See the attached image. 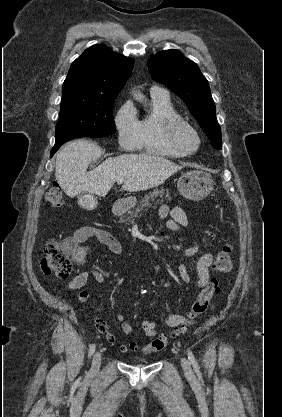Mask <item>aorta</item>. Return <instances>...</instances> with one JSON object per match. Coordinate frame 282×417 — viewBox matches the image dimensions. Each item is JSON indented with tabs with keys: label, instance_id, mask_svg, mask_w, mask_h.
<instances>
[{
	"label": "aorta",
	"instance_id": "1",
	"mask_svg": "<svg viewBox=\"0 0 282 417\" xmlns=\"http://www.w3.org/2000/svg\"><path fill=\"white\" fill-rule=\"evenodd\" d=\"M132 94L138 102H146V96L142 92H139V90H132Z\"/></svg>",
	"mask_w": 282,
	"mask_h": 417
}]
</instances>
